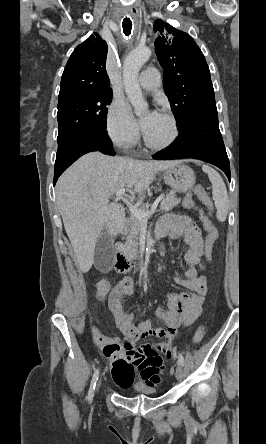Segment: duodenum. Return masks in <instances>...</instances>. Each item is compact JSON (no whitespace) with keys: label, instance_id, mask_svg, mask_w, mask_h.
<instances>
[{"label":"duodenum","instance_id":"duodenum-1","mask_svg":"<svg viewBox=\"0 0 266 444\" xmlns=\"http://www.w3.org/2000/svg\"><path fill=\"white\" fill-rule=\"evenodd\" d=\"M115 268L123 273H129L134 270L132 261L126 254L122 245H119L115 254Z\"/></svg>","mask_w":266,"mask_h":444}]
</instances>
